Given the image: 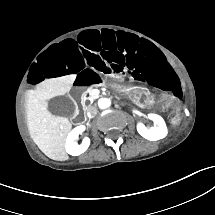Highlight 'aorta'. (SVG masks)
<instances>
[{
	"label": "aorta",
	"instance_id": "1",
	"mask_svg": "<svg viewBox=\"0 0 215 215\" xmlns=\"http://www.w3.org/2000/svg\"><path fill=\"white\" fill-rule=\"evenodd\" d=\"M112 104V101L110 98H101L98 100V106L101 108V109H106V108H109Z\"/></svg>",
	"mask_w": 215,
	"mask_h": 215
}]
</instances>
